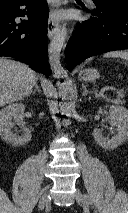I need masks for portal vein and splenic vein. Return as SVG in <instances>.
<instances>
[{
    "label": "portal vein and splenic vein",
    "instance_id": "1",
    "mask_svg": "<svg viewBox=\"0 0 128 213\" xmlns=\"http://www.w3.org/2000/svg\"><path fill=\"white\" fill-rule=\"evenodd\" d=\"M125 93L123 90L118 91V97H124Z\"/></svg>",
    "mask_w": 128,
    "mask_h": 213
}]
</instances>
